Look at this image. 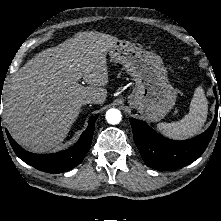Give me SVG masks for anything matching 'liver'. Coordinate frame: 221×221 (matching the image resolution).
I'll return each instance as SVG.
<instances>
[{
  "instance_id": "liver-1",
  "label": "liver",
  "mask_w": 221,
  "mask_h": 221,
  "mask_svg": "<svg viewBox=\"0 0 221 221\" xmlns=\"http://www.w3.org/2000/svg\"><path fill=\"white\" fill-rule=\"evenodd\" d=\"M116 41L100 32H78L29 60L14 74L3 96V121L12 137L33 152L56 149L78 117L83 100L105 102L106 55ZM81 78L89 86H82Z\"/></svg>"
}]
</instances>
